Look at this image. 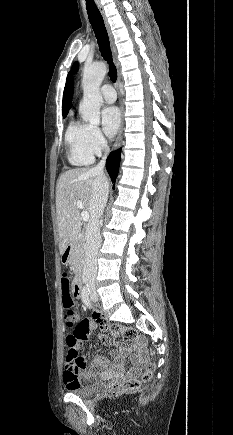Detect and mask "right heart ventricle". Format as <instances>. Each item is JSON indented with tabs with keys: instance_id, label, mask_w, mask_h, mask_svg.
<instances>
[{
	"instance_id": "1",
	"label": "right heart ventricle",
	"mask_w": 233,
	"mask_h": 435,
	"mask_svg": "<svg viewBox=\"0 0 233 435\" xmlns=\"http://www.w3.org/2000/svg\"><path fill=\"white\" fill-rule=\"evenodd\" d=\"M89 125L79 119L72 118L66 130L65 140L68 146V160L75 166H88L94 157L88 147Z\"/></svg>"
}]
</instances>
